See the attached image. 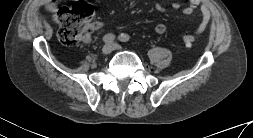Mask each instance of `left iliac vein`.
<instances>
[{
  "instance_id": "left-iliac-vein-1",
  "label": "left iliac vein",
  "mask_w": 253,
  "mask_h": 138,
  "mask_svg": "<svg viewBox=\"0 0 253 138\" xmlns=\"http://www.w3.org/2000/svg\"><path fill=\"white\" fill-rule=\"evenodd\" d=\"M113 46H114V49H116V50H120L122 47L120 46V45H118V44H113Z\"/></svg>"
}]
</instances>
